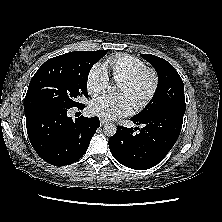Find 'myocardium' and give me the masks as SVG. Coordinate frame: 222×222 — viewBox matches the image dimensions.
<instances>
[{"label":"myocardium","instance_id":"f54148a6","mask_svg":"<svg viewBox=\"0 0 222 222\" xmlns=\"http://www.w3.org/2000/svg\"><path fill=\"white\" fill-rule=\"evenodd\" d=\"M145 76H150L151 78V87L146 94V96L141 99L140 101H137L136 103L133 104L134 109L136 110H141L145 108L153 99L155 96L158 86H159V76L157 72L152 69L145 67L132 75L131 77L125 79L124 81L121 82V84H124L128 87H134L136 86Z\"/></svg>","mask_w":222,"mask_h":222}]
</instances>
